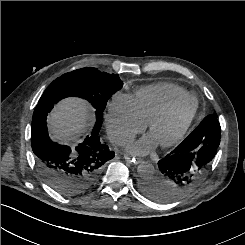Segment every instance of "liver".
Wrapping results in <instances>:
<instances>
[{
	"label": "liver",
	"instance_id": "liver-1",
	"mask_svg": "<svg viewBox=\"0 0 245 245\" xmlns=\"http://www.w3.org/2000/svg\"><path fill=\"white\" fill-rule=\"evenodd\" d=\"M88 105L77 98H68L59 103L48 118L51 136L59 142H68L79 137L88 125Z\"/></svg>",
	"mask_w": 245,
	"mask_h": 245
}]
</instances>
